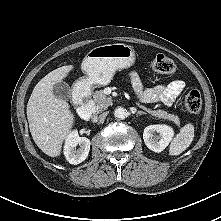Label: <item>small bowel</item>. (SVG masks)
Returning a JSON list of instances; mask_svg holds the SVG:
<instances>
[{"instance_id": "c3829d8e", "label": "small bowel", "mask_w": 221, "mask_h": 221, "mask_svg": "<svg viewBox=\"0 0 221 221\" xmlns=\"http://www.w3.org/2000/svg\"><path fill=\"white\" fill-rule=\"evenodd\" d=\"M128 82L142 102L161 101L166 105H171L185 87L182 80H174L166 85L144 88L138 74L135 72L129 74Z\"/></svg>"}]
</instances>
